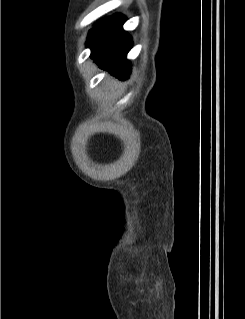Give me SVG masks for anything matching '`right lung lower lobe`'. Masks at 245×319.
<instances>
[{"instance_id": "1", "label": "right lung lower lobe", "mask_w": 245, "mask_h": 319, "mask_svg": "<svg viewBox=\"0 0 245 319\" xmlns=\"http://www.w3.org/2000/svg\"><path fill=\"white\" fill-rule=\"evenodd\" d=\"M125 20L121 14L108 17L90 31L87 42L99 66L110 70L119 79H125L130 74L126 55L132 47V40L122 29Z\"/></svg>"}]
</instances>
